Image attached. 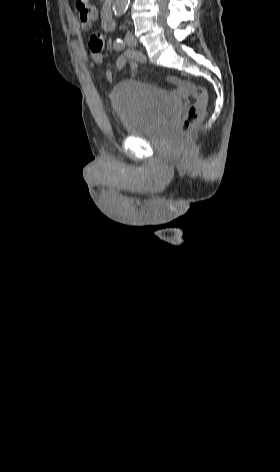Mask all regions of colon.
I'll use <instances>...</instances> for the list:
<instances>
[{
    "label": "colon",
    "mask_w": 280,
    "mask_h": 472,
    "mask_svg": "<svg viewBox=\"0 0 280 472\" xmlns=\"http://www.w3.org/2000/svg\"><path fill=\"white\" fill-rule=\"evenodd\" d=\"M75 5L81 26L84 29H89L96 19L94 6L89 0H76ZM192 97L193 102L182 116L179 124V134L182 138H186L202 118L207 103V92L201 86L193 89Z\"/></svg>",
    "instance_id": "5ec220e1"
}]
</instances>
